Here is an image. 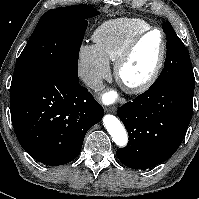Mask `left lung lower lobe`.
I'll return each instance as SVG.
<instances>
[{"label":"left lung lower lobe","instance_id":"0a47b994","mask_svg":"<svg viewBox=\"0 0 199 199\" xmlns=\"http://www.w3.org/2000/svg\"><path fill=\"white\" fill-rule=\"evenodd\" d=\"M195 81H173L150 87L118 109L129 134L117 150L127 167L146 169L169 159L181 145L193 114Z\"/></svg>","mask_w":199,"mask_h":199}]
</instances>
